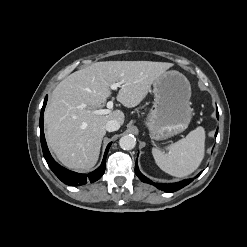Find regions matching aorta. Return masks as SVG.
Instances as JSON below:
<instances>
[{
  "instance_id": "aorta-1",
  "label": "aorta",
  "mask_w": 247,
  "mask_h": 247,
  "mask_svg": "<svg viewBox=\"0 0 247 247\" xmlns=\"http://www.w3.org/2000/svg\"><path fill=\"white\" fill-rule=\"evenodd\" d=\"M119 145L123 150H132L136 145V138L131 134L124 135L120 138Z\"/></svg>"
}]
</instances>
